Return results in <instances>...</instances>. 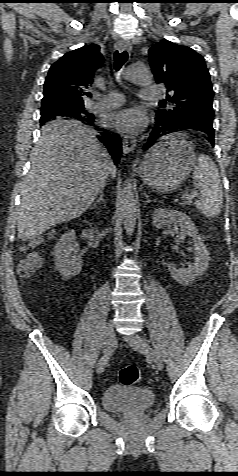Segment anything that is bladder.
Returning a JSON list of instances; mask_svg holds the SVG:
<instances>
[{
  "mask_svg": "<svg viewBox=\"0 0 238 476\" xmlns=\"http://www.w3.org/2000/svg\"><path fill=\"white\" fill-rule=\"evenodd\" d=\"M155 403L154 393L146 387L112 385L102 395V405L112 413L140 412Z\"/></svg>",
  "mask_w": 238,
  "mask_h": 476,
  "instance_id": "bladder-1",
  "label": "bladder"
}]
</instances>
